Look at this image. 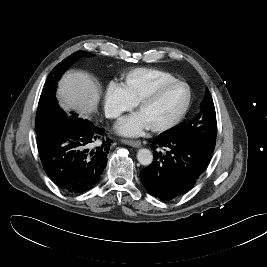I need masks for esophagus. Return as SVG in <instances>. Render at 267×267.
I'll return each mask as SVG.
<instances>
[{
  "mask_svg": "<svg viewBox=\"0 0 267 267\" xmlns=\"http://www.w3.org/2000/svg\"><path fill=\"white\" fill-rule=\"evenodd\" d=\"M122 142L133 147H139L141 145V141L139 140L123 139Z\"/></svg>",
  "mask_w": 267,
  "mask_h": 267,
  "instance_id": "esophagus-1",
  "label": "esophagus"
}]
</instances>
